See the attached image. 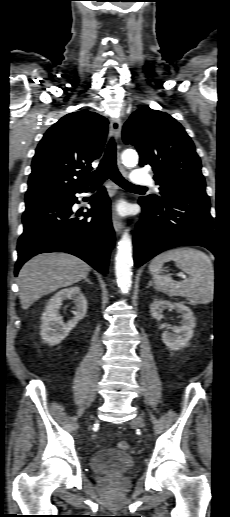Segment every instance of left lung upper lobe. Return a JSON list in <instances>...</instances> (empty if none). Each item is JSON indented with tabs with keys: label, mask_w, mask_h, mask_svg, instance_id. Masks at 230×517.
<instances>
[{
	"label": "left lung upper lobe",
	"mask_w": 230,
	"mask_h": 517,
	"mask_svg": "<svg viewBox=\"0 0 230 517\" xmlns=\"http://www.w3.org/2000/svg\"><path fill=\"white\" fill-rule=\"evenodd\" d=\"M123 140L134 145L140 166L151 165L160 196L142 197L160 205L174 197L207 196L200 158L184 128L165 112L142 107L123 126Z\"/></svg>",
	"instance_id": "5c2ea615"
}]
</instances>
